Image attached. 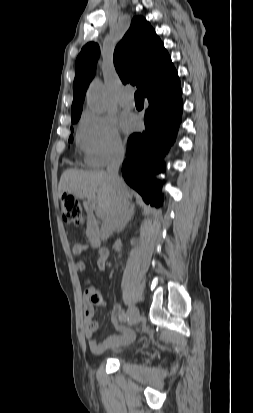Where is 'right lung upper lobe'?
Returning <instances> with one entry per match:
<instances>
[{"label":"right lung upper lobe","mask_w":253,"mask_h":413,"mask_svg":"<svg viewBox=\"0 0 253 413\" xmlns=\"http://www.w3.org/2000/svg\"><path fill=\"white\" fill-rule=\"evenodd\" d=\"M100 49L86 44L75 63L72 120L80 117L89 83L95 75ZM114 65L124 84L140 87L147 96L154 87H171L180 82L176 69L150 23L142 16L133 18L129 30L114 51Z\"/></svg>","instance_id":"1"}]
</instances>
